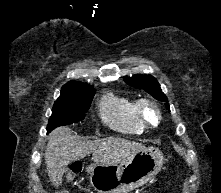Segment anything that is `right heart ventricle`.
I'll use <instances>...</instances> for the list:
<instances>
[{
	"instance_id": "1",
	"label": "right heart ventricle",
	"mask_w": 221,
	"mask_h": 193,
	"mask_svg": "<svg viewBox=\"0 0 221 193\" xmlns=\"http://www.w3.org/2000/svg\"><path fill=\"white\" fill-rule=\"evenodd\" d=\"M100 114L104 122L114 130L125 134H140L143 131L136 102L127 96L106 94L100 103Z\"/></svg>"
}]
</instances>
